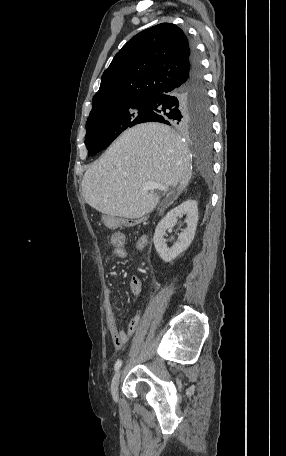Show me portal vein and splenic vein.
Returning <instances> with one entry per match:
<instances>
[{
  "label": "portal vein and splenic vein",
  "mask_w": 286,
  "mask_h": 456,
  "mask_svg": "<svg viewBox=\"0 0 286 456\" xmlns=\"http://www.w3.org/2000/svg\"><path fill=\"white\" fill-rule=\"evenodd\" d=\"M155 189H159L161 191H167V186H165L161 183L155 182V181H147L143 184L142 191L144 193H146L148 191H152Z\"/></svg>",
  "instance_id": "obj_1"
}]
</instances>
